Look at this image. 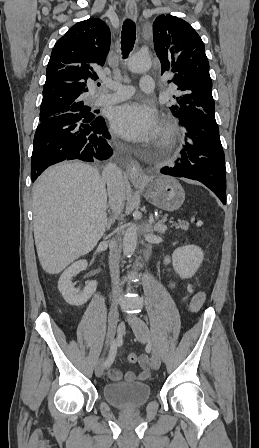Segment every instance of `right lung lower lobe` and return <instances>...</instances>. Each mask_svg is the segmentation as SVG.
<instances>
[{"label":"right lung lower lobe","mask_w":259,"mask_h":448,"mask_svg":"<svg viewBox=\"0 0 259 448\" xmlns=\"http://www.w3.org/2000/svg\"><path fill=\"white\" fill-rule=\"evenodd\" d=\"M105 119L96 117L85 122L73 114H63L42 121L35 132L31 158V179L49 166L63 160L93 162L111 157L113 150Z\"/></svg>","instance_id":"right-lung-lower-lobe-1"}]
</instances>
